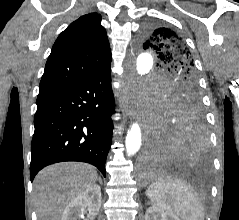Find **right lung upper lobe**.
I'll return each mask as SVG.
<instances>
[{"label":"right lung upper lobe","mask_w":239,"mask_h":220,"mask_svg":"<svg viewBox=\"0 0 239 220\" xmlns=\"http://www.w3.org/2000/svg\"><path fill=\"white\" fill-rule=\"evenodd\" d=\"M101 16L90 13L71 23L55 41L39 92L80 82L111 63V50Z\"/></svg>","instance_id":"1"}]
</instances>
